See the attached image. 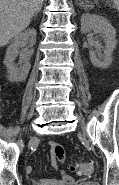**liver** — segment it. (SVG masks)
<instances>
[{"label": "liver", "mask_w": 119, "mask_h": 185, "mask_svg": "<svg viewBox=\"0 0 119 185\" xmlns=\"http://www.w3.org/2000/svg\"><path fill=\"white\" fill-rule=\"evenodd\" d=\"M44 0H0V47L26 29Z\"/></svg>", "instance_id": "obj_1"}]
</instances>
